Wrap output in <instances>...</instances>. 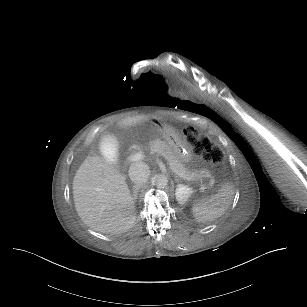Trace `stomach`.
<instances>
[{"label": "stomach", "instance_id": "1", "mask_svg": "<svg viewBox=\"0 0 307 307\" xmlns=\"http://www.w3.org/2000/svg\"><path fill=\"white\" fill-rule=\"evenodd\" d=\"M162 135L167 140L173 153L182 163L191 161V148L185 137L175 128L162 124Z\"/></svg>", "mask_w": 307, "mask_h": 307}]
</instances>
